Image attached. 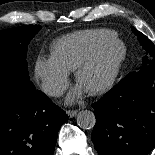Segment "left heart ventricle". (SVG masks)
I'll return each mask as SVG.
<instances>
[{
    "label": "left heart ventricle",
    "mask_w": 155,
    "mask_h": 155,
    "mask_svg": "<svg viewBox=\"0 0 155 155\" xmlns=\"http://www.w3.org/2000/svg\"><path fill=\"white\" fill-rule=\"evenodd\" d=\"M121 53V48L117 44L109 46L82 76L80 86L85 89H93L103 84L111 75L116 60Z\"/></svg>",
    "instance_id": "obj_1"
}]
</instances>
